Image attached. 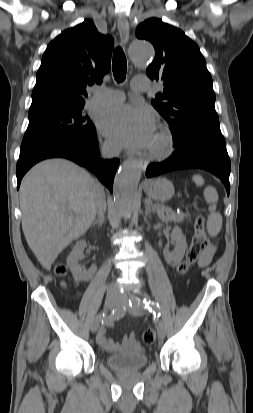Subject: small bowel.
Instances as JSON below:
<instances>
[{"instance_id":"small-bowel-1","label":"small bowel","mask_w":253,"mask_h":413,"mask_svg":"<svg viewBox=\"0 0 253 413\" xmlns=\"http://www.w3.org/2000/svg\"><path fill=\"white\" fill-rule=\"evenodd\" d=\"M214 253H215V246L211 245L203 253V255H202V257L199 261V265L201 267L207 266L211 262ZM106 325L110 326L111 324L106 323ZM97 342L103 348H105L107 351H110V352H117V351H120L124 348L134 349V350L139 348V343L136 339V336H135L134 332H131L128 335H126L123 339L122 344H118L106 335V328L105 327H102V328L99 329V332L97 334Z\"/></svg>"}]
</instances>
